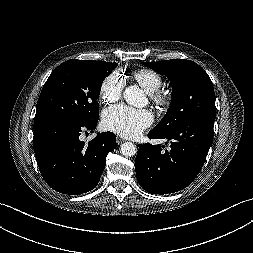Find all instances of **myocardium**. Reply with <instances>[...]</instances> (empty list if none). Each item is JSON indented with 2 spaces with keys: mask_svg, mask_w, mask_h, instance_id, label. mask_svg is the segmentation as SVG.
<instances>
[{
  "mask_svg": "<svg viewBox=\"0 0 253 253\" xmlns=\"http://www.w3.org/2000/svg\"><path fill=\"white\" fill-rule=\"evenodd\" d=\"M151 98L153 102L161 107V108H166L169 105V96L162 90L158 89L152 93H150Z\"/></svg>",
  "mask_w": 253,
  "mask_h": 253,
  "instance_id": "f54148a6",
  "label": "myocardium"
}]
</instances>
